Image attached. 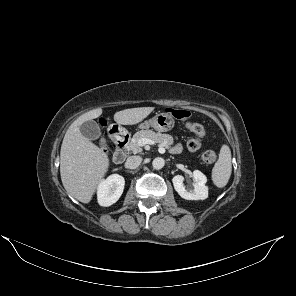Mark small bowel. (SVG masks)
Returning <instances> with one entry per match:
<instances>
[{
	"instance_id": "obj_1",
	"label": "small bowel",
	"mask_w": 296,
	"mask_h": 296,
	"mask_svg": "<svg viewBox=\"0 0 296 296\" xmlns=\"http://www.w3.org/2000/svg\"><path fill=\"white\" fill-rule=\"evenodd\" d=\"M173 150H174V152H179L181 150V145L177 144Z\"/></svg>"
}]
</instances>
